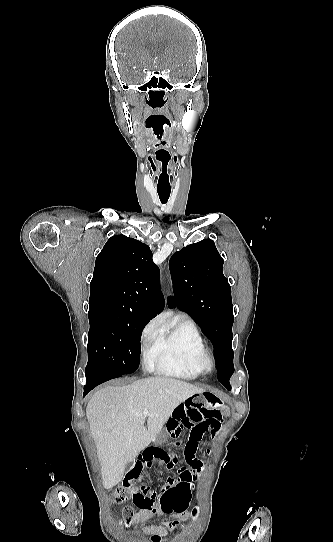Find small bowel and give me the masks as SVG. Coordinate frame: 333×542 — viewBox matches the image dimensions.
<instances>
[{"label": "small bowel", "instance_id": "small-bowel-1", "mask_svg": "<svg viewBox=\"0 0 333 542\" xmlns=\"http://www.w3.org/2000/svg\"><path fill=\"white\" fill-rule=\"evenodd\" d=\"M172 413L173 416L167 423L168 437L174 447L183 451L185 461L188 464L199 467L200 462L195 457L199 446L201 443L209 444L210 437L219 434L225 413L223 409L210 410L200 406L198 400H183L181 405L174 406ZM169 457H171V461H168ZM156 459L166 463L171 468L176 467L178 462L177 456L170 455L160 447H145L140 460L129 473L130 478L132 480L137 477L141 478L145 470L151 468ZM179 472L180 476L178 478L169 477L164 480L158 478V485L155 489L143 484L133 495V501L138 509L134 513L135 521L143 527L146 533L154 536V542H167L169 532L177 530L180 526L176 520H186L188 518V512L185 510L183 514L175 513V520L162 521L158 525L144 526V523L149 519L172 512L168 508L161 507L162 497L185 496V488H181L180 485L190 482L193 475L186 468L179 469ZM166 517L170 520L173 516L169 513Z\"/></svg>", "mask_w": 333, "mask_h": 542}]
</instances>
